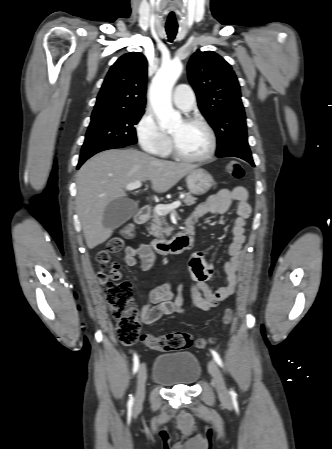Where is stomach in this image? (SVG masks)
Listing matches in <instances>:
<instances>
[{"instance_id": "obj_1", "label": "stomach", "mask_w": 332, "mask_h": 449, "mask_svg": "<svg viewBox=\"0 0 332 449\" xmlns=\"http://www.w3.org/2000/svg\"><path fill=\"white\" fill-rule=\"evenodd\" d=\"M186 183L190 193L203 195L213 186L214 180L206 170L198 168L187 175Z\"/></svg>"}]
</instances>
